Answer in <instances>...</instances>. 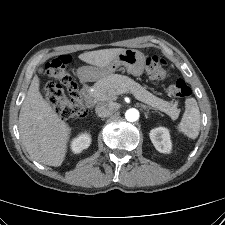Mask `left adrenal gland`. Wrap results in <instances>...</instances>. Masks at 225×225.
Returning <instances> with one entry per match:
<instances>
[{
	"label": "left adrenal gland",
	"mask_w": 225,
	"mask_h": 225,
	"mask_svg": "<svg viewBox=\"0 0 225 225\" xmlns=\"http://www.w3.org/2000/svg\"><path fill=\"white\" fill-rule=\"evenodd\" d=\"M142 108L145 109V110H146V109H151V107H148V106H146V105H142Z\"/></svg>",
	"instance_id": "a2214340"
}]
</instances>
